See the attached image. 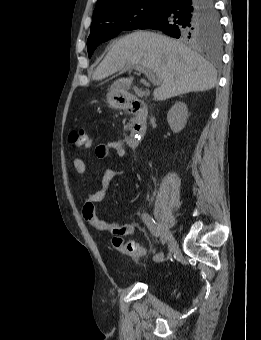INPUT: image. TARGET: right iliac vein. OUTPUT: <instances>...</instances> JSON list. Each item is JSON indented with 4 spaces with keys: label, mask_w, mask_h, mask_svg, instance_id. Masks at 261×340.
Wrapping results in <instances>:
<instances>
[{
    "label": "right iliac vein",
    "mask_w": 261,
    "mask_h": 340,
    "mask_svg": "<svg viewBox=\"0 0 261 340\" xmlns=\"http://www.w3.org/2000/svg\"><path fill=\"white\" fill-rule=\"evenodd\" d=\"M172 237L170 234V230L167 226H163L161 229V244L166 245L171 241Z\"/></svg>",
    "instance_id": "obj_1"
}]
</instances>
